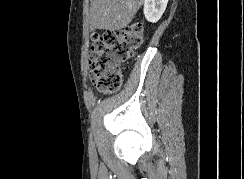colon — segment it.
Masks as SVG:
<instances>
[{"mask_svg":"<svg viewBox=\"0 0 244 179\" xmlns=\"http://www.w3.org/2000/svg\"><path fill=\"white\" fill-rule=\"evenodd\" d=\"M144 42L143 26L131 24L121 31L94 33L90 47V79L102 92H116L122 82V66Z\"/></svg>","mask_w":244,"mask_h":179,"instance_id":"colon-1","label":"colon"}]
</instances>
